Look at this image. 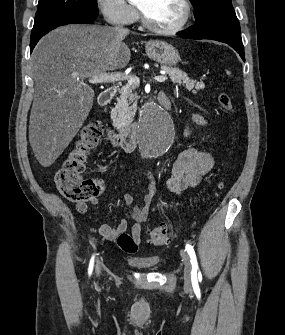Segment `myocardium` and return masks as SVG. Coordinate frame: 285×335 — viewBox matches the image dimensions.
Masks as SVG:
<instances>
[{
	"mask_svg": "<svg viewBox=\"0 0 285 335\" xmlns=\"http://www.w3.org/2000/svg\"><path fill=\"white\" fill-rule=\"evenodd\" d=\"M178 2L184 8L185 14H184L182 21L173 28H159V27L154 26L150 22L146 14L142 1L138 2L137 7L139 10L140 22L143 28L149 31L150 33L157 34V35H173V34L181 32L187 26L188 22L190 21L192 10H191V5L189 1H178Z\"/></svg>",
	"mask_w": 285,
	"mask_h": 335,
	"instance_id": "myocardium-1",
	"label": "myocardium"
}]
</instances>
